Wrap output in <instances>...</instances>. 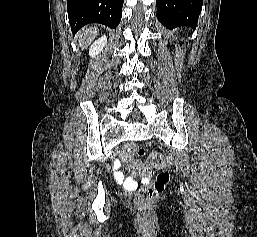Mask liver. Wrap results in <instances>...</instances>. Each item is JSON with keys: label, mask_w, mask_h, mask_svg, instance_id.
Listing matches in <instances>:
<instances>
[{"label": "liver", "mask_w": 257, "mask_h": 237, "mask_svg": "<svg viewBox=\"0 0 257 237\" xmlns=\"http://www.w3.org/2000/svg\"><path fill=\"white\" fill-rule=\"evenodd\" d=\"M99 30L96 27H87L82 29L79 34V46L82 49L88 47L94 38L98 35Z\"/></svg>", "instance_id": "6515ba94"}]
</instances>
